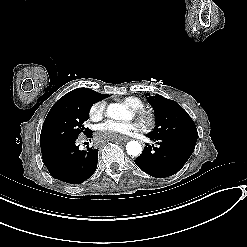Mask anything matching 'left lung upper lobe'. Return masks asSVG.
Wrapping results in <instances>:
<instances>
[{"label": "left lung upper lobe", "instance_id": "obj_1", "mask_svg": "<svg viewBox=\"0 0 247 247\" xmlns=\"http://www.w3.org/2000/svg\"><path fill=\"white\" fill-rule=\"evenodd\" d=\"M152 105L156 126L147 137L168 138L197 142V129L189 114L175 101L156 94L148 96Z\"/></svg>", "mask_w": 247, "mask_h": 247}]
</instances>
